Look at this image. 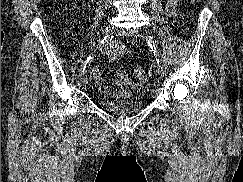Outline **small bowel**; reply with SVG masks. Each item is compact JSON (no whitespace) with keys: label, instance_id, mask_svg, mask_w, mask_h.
I'll return each mask as SVG.
<instances>
[{"label":"small bowel","instance_id":"1","mask_svg":"<svg viewBox=\"0 0 243 182\" xmlns=\"http://www.w3.org/2000/svg\"><path fill=\"white\" fill-rule=\"evenodd\" d=\"M179 0H167L166 11L169 16L176 15L178 11ZM102 52L107 56L110 62H114L128 52V47L120 41H113L102 47ZM91 76L97 88H103V77L98 66L91 67ZM134 88L133 82L128 77L125 70H119L113 83L114 93L123 94Z\"/></svg>","mask_w":243,"mask_h":182}]
</instances>
